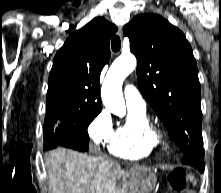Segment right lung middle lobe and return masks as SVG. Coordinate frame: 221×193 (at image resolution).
<instances>
[{
	"label": "right lung middle lobe",
	"instance_id": "1",
	"mask_svg": "<svg viewBox=\"0 0 221 193\" xmlns=\"http://www.w3.org/2000/svg\"><path fill=\"white\" fill-rule=\"evenodd\" d=\"M100 111L57 115L46 113L44 121V149L58 145L86 151L89 147L87 127Z\"/></svg>",
	"mask_w": 221,
	"mask_h": 193
}]
</instances>
